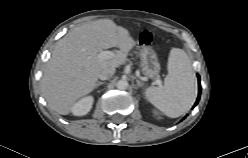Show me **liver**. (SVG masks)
<instances>
[{"instance_id":"liver-1","label":"liver","mask_w":248,"mask_h":158,"mask_svg":"<svg viewBox=\"0 0 248 158\" xmlns=\"http://www.w3.org/2000/svg\"><path fill=\"white\" fill-rule=\"evenodd\" d=\"M134 46L128 30L110 19L88 22L68 32L55 46L41 78L48 106L69 114L80 98L93 91L101 71L122 65ZM112 47L119 48L112 58L98 57Z\"/></svg>"}]
</instances>
